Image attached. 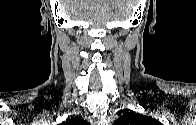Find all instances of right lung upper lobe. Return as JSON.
I'll return each mask as SVG.
<instances>
[{"mask_svg": "<svg viewBox=\"0 0 196 125\" xmlns=\"http://www.w3.org/2000/svg\"><path fill=\"white\" fill-rule=\"evenodd\" d=\"M69 122H70V120H66L65 124H67V123H69Z\"/></svg>", "mask_w": 196, "mask_h": 125, "instance_id": "right-lung-upper-lobe-1", "label": "right lung upper lobe"}]
</instances>
